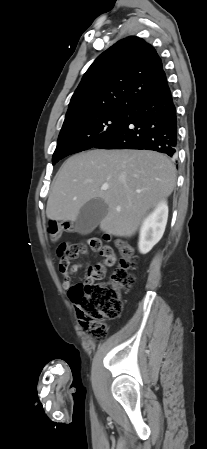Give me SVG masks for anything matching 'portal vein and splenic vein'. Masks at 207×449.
I'll return each instance as SVG.
<instances>
[{"label": "portal vein and splenic vein", "instance_id": "portal-vein-and-splenic-vein-1", "mask_svg": "<svg viewBox=\"0 0 207 449\" xmlns=\"http://www.w3.org/2000/svg\"><path fill=\"white\" fill-rule=\"evenodd\" d=\"M108 187H109L108 184H104V185L101 186V190H107Z\"/></svg>", "mask_w": 207, "mask_h": 449}]
</instances>
